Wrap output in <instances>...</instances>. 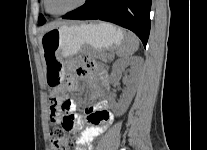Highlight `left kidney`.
Masks as SVG:
<instances>
[{"instance_id": "5707ae66", "label": "left kidney", "mask_w": 207, "mask_h": 150, "mask_svg": "<svg viewBox=\"0 0 207 150\" xmlns=\"http://www.w3.org/2000/svg\"><path fill=\"white\" fill-rule=\"evenodd\" d=\"M140 64V59L137 57L131 58H122L117 60L112 67V78L115 79L118 75H120L123 70L131 66L133 68H137ZM133 77L126 79V83L129 85L127 91L124 93L123 98L117 103L113 98H111V109L112 111L120 116L126 112L128 109L134 95H135V87L133 85Z\"/></svg>"}]
</instances>
